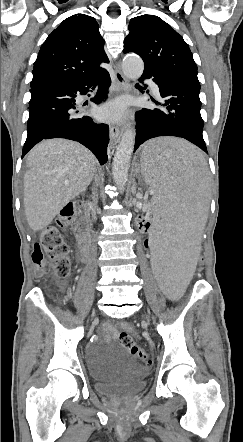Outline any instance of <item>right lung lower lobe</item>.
Wrapping results in <instances>:
<instances>
[{"mask_svg": "<svg viewBox=\"0 0 243 442\" xmlns=\"http://www.w3.org/2000/svg\"><path fill=\"white\" fill-rule=\"evenodd\" d=\"M110 83L108 71L103 70L84 79L51 80L31 85L28 135L22 157L42 139L66 138L85 145L100 164H104L108 159L109 127L79 115L75 98L99 85L92 101L100 104L107 97L105 91Z\"/></svg>", "mask_w": 243, "mask_h": 442, "instance_id": "right-lung-lower-lobe-1", "label": "right lung lower lobe"}]
</instances>
